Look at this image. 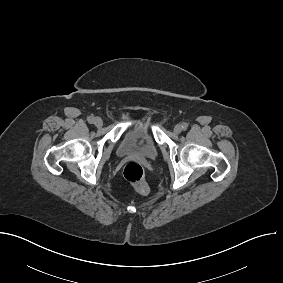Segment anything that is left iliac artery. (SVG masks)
Here are the masks:
<instances>
[{"mask_svg":"<svg viewBox=\"0 0 283 283\" xmlns=\"http://www.w3.org/2000/svg\"><path fill=\"white\" fill-rule=\"evenodd\" d=\"M182 128H183V130H186L188 128V124L187 123H183L182 124Z\"/></svg>","mask_w":283,"mask_h":283,"instance_id":"44dca946","label":"left iliac artery"}]
</instances>
